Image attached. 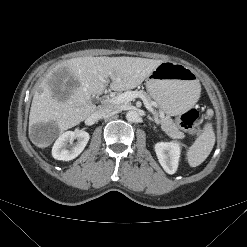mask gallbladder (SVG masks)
I'll list each match as a JSON object with an SVG mask.
<instances>
[{
    "label": "gallbladder",
    "instance_id": "gallbladder-1",
    "mask_svg": "<svg viewBox=\"0 0 247 247\" xmlns=\"http://www.w3.org/2000/svg\"><path fill=\"white\" fill-rule=\"evenodd\" d=\"M48 83L52 87L54 95L62 101L66 100L71 90L78 85V81L70 75L66 68L58 70Z\"/></svg>",
    "mask_w": 247,
    "mask_h": 247
}]
</instances>
